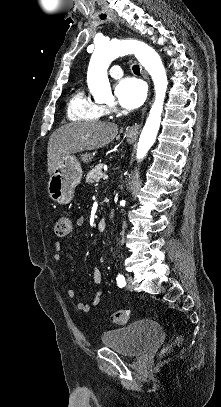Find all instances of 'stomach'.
<instances>
[{
    "mask_svg": "<svg viewBox=\"0 0 221 407\" xmlns=\"http://www.w3.org/2000/svg\"><path fill=\"white\" fill-rule=\"evenodd\" d=\"M133 136L127 135V140L131 142ZM92 155L89 153L81 155V160L89 162ZM82 168L79 159L74 155H68L61 159L56 166L48 182V194L50 198L59 204H68L74 195L75 188L82 179Z\"/></svg>",
    "mask_w": 221,
    "mask_h": 407,
    "instance_id": "obj_1",
    "label": "stomach"
}]
</instances>
